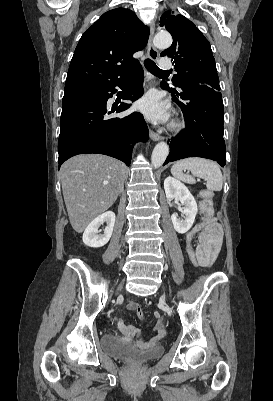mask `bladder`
<instances>
[{
    "instance_id": "obj_1",
    "label": "bladder",
    "mask_w": 273,
    "mask_h": 401,
    "mask_svg": "<svg viewBox=\"0 0 273 401\" xmlns=\"http://www.w3.org/2000/svg\"><path fill=\"white\" fill-rule=\"evenodd\" d=\"M101 348L106 354L134 365L144 364L161 356L163 353V348L161 346H153L144 350L134 351L122 340L112 335H105L102 338Z\"/></svg>"
}]
</instances>
